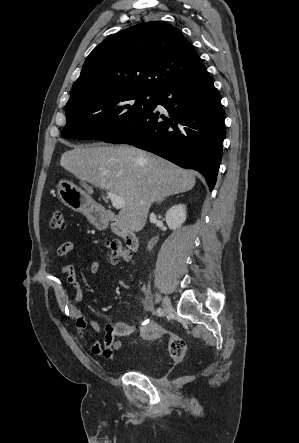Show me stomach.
Instances as JSON below:
<instances>
[{
    "mask_svg": "<svg viewBox=\"0 0 299 443\" xmlns=\"http://www.w3.org/2000/svg\"><path fill=\"white\" fill-rule=\"evenodd\" d=\"M57 193L66 206L83 213L96 227H106L107 221L98 216L95 202L84 190L68 180H61L57 185Z\"/></svg>",
    "mask_w": 299,
    "mask_h": 443,
    "instance_id": "stomach-1",
    "label": "stomach"
}]
</instances>
